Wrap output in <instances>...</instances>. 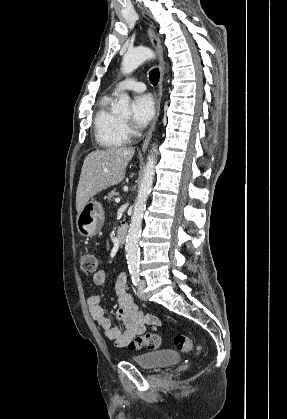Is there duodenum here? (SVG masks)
Listing matches in <instances>:
<instances>
[{
  "label": "duodenum",
  "instance_id": "1",
  "mask_svg": "<svg viewBox=\"0 0 287 419\" xmlns=\"http://www.w3.org/2000/svg\"><path fill=\"white\" fill-rule=\"evenodd\" d=\"M126 237L127 231L124 228H119L116 232V242L121 245L125 243Z\"/></svg>",
  "mask_w": 287,
  "mask_h": 419
}]
</instances>
